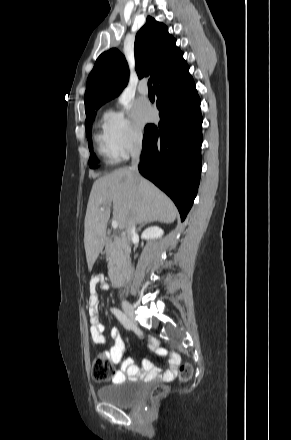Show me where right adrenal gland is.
<instances>
[{"instance_id":"2a0ac1e0","label":"right adrenal gland","mask_w":291,"mask_h":440,"mask_svg":"<svg viewBox=\"0 0 291 440\" xmlns=\"http://www.w3.org/2000/svg\"><path fill=\"white\" fill-rule=\"evenodd\" d=\"M147 223H149V222H145V223L141 224V225L139 226V228H138V231H140L141 228H142L143 226H145Z\"/></svg>"}]
</instances>
